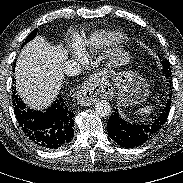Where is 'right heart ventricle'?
<instances>
[{
	"label": "right heart ventricle",
	"mask_w": 183,
	"mask_h": 183,
	"mask_svg": "<svg viewBox=\"0 0 183 183\" xmlns=\"http://www.w3.org/2000/svg\"><path fill=\"white\" fill-rule=\"evenodd\" d=\"M122 38L119 33H109L106 35L95 34L92 35L88 40L82 42L81 47L85 50H93L100 47L103 44L110 43L112 41H117Z\"/></svg>",
	"instance_id": "obj_1"
}]
</instances>
